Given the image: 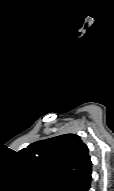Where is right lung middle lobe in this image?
<instances>
[{
    "mask_svg": "<svg viewBox=\"0 0 114 191\" xmlns=\"http://www.w3.org/2000/svg\"><path fill=\"white\" fill-rule=\"evenodd\" d=\"M42 190H44V191H57L58 188L57 187H49V188H44Z\"/></svg>",
    "mask_w": 114,
    "mask_h": 191,
    "instance_id": "1",
    "label": "right lung middle lobe"
}]
</instances>
